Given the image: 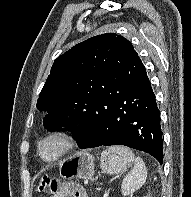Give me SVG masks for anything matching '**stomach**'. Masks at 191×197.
<instances>
[{
	"label": "stomach",
	"instance_id": "obj_1",
	"mask_svg": "<svg viewBox=\"0 0 191 197\" xmlns=\"http://www.w3.org/2000/svg\"><path fill=\"white\" fill-rule=\"evenodd\" d=\"M100 166L107 174H117L128 165L118 161L114 153L106 150L102 153ZM94 174V157L87 151H82L69 157L60 166V176L64 179H90Z\"/></svg>",
	"mask_w": 191,
	"mask_h": 197
}]
</instances>
